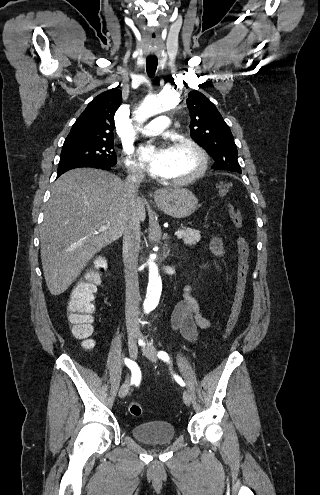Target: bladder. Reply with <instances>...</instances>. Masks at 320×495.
Here are the masks:
<instances>
[{
	"mask_svg": "<svg viewBox=\"0 0 320 495\" xmlns=\"http://www.w3.org/2000/svg\"><path fill=\"white\" fill-rule=\"evenodd\" d=\"M132 434L136 439L147 444H165L175 438L176 431L170 422L148 421L136 424Z\"/></svg>",
	"mask_w": 320,
	"mask_h": 495,
	"instance_id": "bladder-1",
	"label": "bladder"
}]
</instances>
